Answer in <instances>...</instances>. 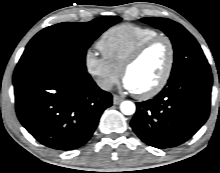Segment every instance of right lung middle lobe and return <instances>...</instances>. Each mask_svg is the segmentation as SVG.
Masks as SVG:
<instances>
[{
  "instance_id": "obj_1",
  "label": "right lung middle lobe",
  "mask_w": 220,
  "mask_h": 173,
  "mask_svg": "<svg viewBox=\"0 0 220 173\" xmlns=\"http://www.w3.org/2000/svg\"><path fill=\"white\" fill-rule=\"evenodd\" d=\"M120 21L118 16H104L85 23L64 22L49 26L31 39L18 65L57 61L86 71L87 49L101 33Z\"/></svg>"
}]
</instances>
